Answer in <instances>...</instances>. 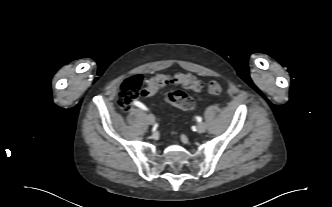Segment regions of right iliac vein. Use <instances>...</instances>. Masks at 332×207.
I'll return each mask as SVG.
<instances>
[{"label": "right iliac vein", "mask_w": 332, "mask_h": 207, "mask_svg": "<svg viewBox=\"0 0 332 207\" xmlns=\"http://www.w3.org/2000/svg\"><path fill=\"white\" fill-rule=\"evenodd\" d=\"M147 121L150 125H153L155 123V117L153 114H148L147 115Z\"/></svg>", "instance_id": "1"}]
</instances>
